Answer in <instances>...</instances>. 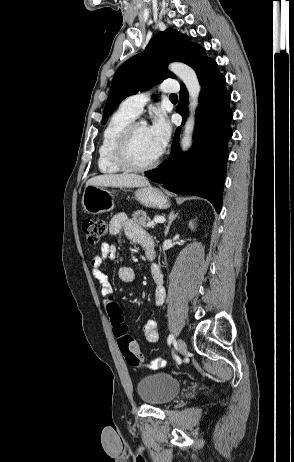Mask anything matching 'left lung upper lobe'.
Instances as JSON below:
<instances>
[{"label":"left lung upper lobe","mask_w":294,"mask_h":462,"mask_svg":"<svg viewBox=\"0 0 294 462\" xmlns=\"http://www.w3.org/2000/svg\"><path fill=\"white\" fill-rule=\"evenodd\" d=\"M188 36L169 28L155 35L145 52L127 60L116 72L104 108L102 123L127 96L145 91L175 75L167 70L171 61H181L197 71L211 60L200 45L188 41Z\"/></svg>","instance_id":"1"}]
</instances>
